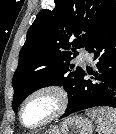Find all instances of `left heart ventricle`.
Returning a JSON list of instances; mask_svg holds the SVG:
<instances>
[{"label": "left heart ventricle", "mask_w": 116, "mask_h": 134, "mask_svg": "<svg viewBox=\"0 0 116 134\" xmlns=\"http://www.w3.org/2000/svg\"><path fill=\"white\" fill-rule=\"evenodd\" d=\"M55 108V100L50 95L34 97L25 107L23 117L28 125L39 123L47 117Z\"/></svg>", "instance_id": "obj_1"}]
</instances>
